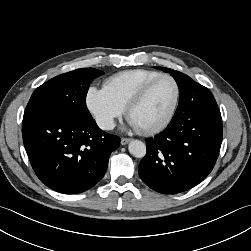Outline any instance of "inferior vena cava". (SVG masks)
<instances>
[{"label": "inferior vena cava", "mask_w": 251, "mask_h": 251, "mask_svg": "<svg viewBox=\"0 0 251 251\" xmlns=\"http://www.w3.org/2000/svg\"><path fill=\"white\" fill-rule=\"evenodd\" d=\"M98 126L103 130H112L115 124L110 118H101L97 121Z\"/></svg>", "instance_id": "1"}]
</instances>
